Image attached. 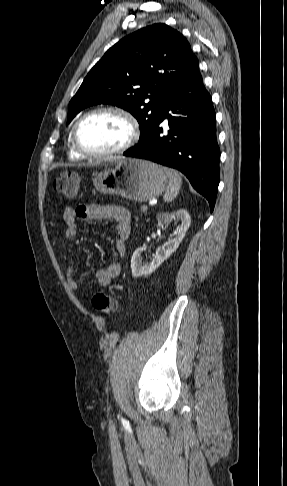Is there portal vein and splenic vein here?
<instances>
[{
    "mask_svg": "<svg viewBox=\"0 0 287 486\" xmlns=\"http://www.w3.org/2000/svg\"><path fill=\"white\" fill-rule=\"evenodd\" d=\"M147 210H148L147 205H143V206L141 207V211H143V212H147Z\"/></svg>",
    "mask_w": 287,
    "mask_h": 486,
    "instance_id": "portal-vein-and-splenic-vein-1",
    "label": "portal vein and splenic vein"
}]
</instances>
